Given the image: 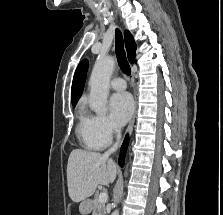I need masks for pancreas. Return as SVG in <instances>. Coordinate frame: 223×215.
Listing matches in <instances>:
<instances>
[{
	"label": "pancreas",
	"mask_w": 223,
	"mask_h": 215,
	"mask_svg": "<svg viewBox=\"0 0 223 215\" xmlns=\"http://www.w3.org/2000/svg\"><path fill=\"white\" fill-rule=\"evenodd\" d=\"M93 201L95 202V205L93 206L94 208V212L92 213V215H105V207L103 205V203H100V201H98V197H94Z\"/></svg>",
	"instance_id": "pancreas-1"
}]
</instances>
